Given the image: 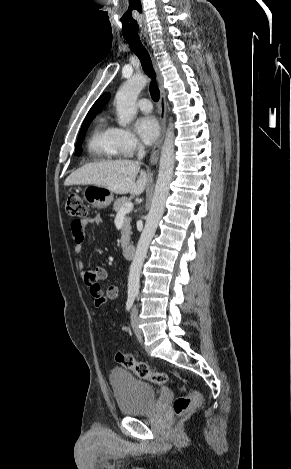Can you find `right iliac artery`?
<instances>
[{"instance_id": "1", "label": "right iliac artery", "mask_w": 291, "mask_h": 469, "mask_svg": "<svg viewBox=\"0 0 291 469\" xmlns=\"http://www.w3.org/2000/svg\"><path fill=\"white\" fill-rule=\"evenodd\" d=\"M135 296L134 295H129L127 302H126V310L129 311L134 303Z\"/></svg>"}]
</instances>
